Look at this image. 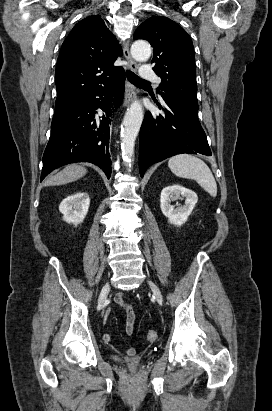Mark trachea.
I'll list each match as a JSON object with an SVG mask.
<instances>
[{
    "mask_svg": "<svg viewBox=\"0 0 272 411\" xmlns=\"http://www.w3.org/2000/svg\"><path fill=\"white\" fill-rule=\"evenodd\" d=\"M126 77L133 84H140V83L148 84L149 83L148 81L141 79L135 73L129 70L126 71Z\"/></svg>",
    "mask_w": 272,
    "mask_h": 411,
    "instance_id": "3493384b",
    "label": "trachea"
}]
</instances>
